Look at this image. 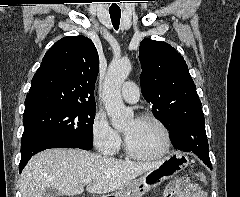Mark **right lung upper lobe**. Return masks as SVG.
<instances>
[{
    "label": "right lung upper lobe",
    "instance_id": "obj_1",
    "mask_svg": "<svg viewBox=\"0 0 240 197\" xmlns=\"http://www.w3.org/2000/svg\"><path fill=\"white\" fill-rule=\"evenodd\" d=\"M99 57L85 36H67L45 54L25 100V111L49 105L95 106Z\"/></svg>",
    "mask_w": 240,
    "mask_h": 197
}]
</instances>
